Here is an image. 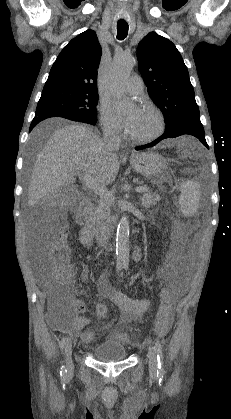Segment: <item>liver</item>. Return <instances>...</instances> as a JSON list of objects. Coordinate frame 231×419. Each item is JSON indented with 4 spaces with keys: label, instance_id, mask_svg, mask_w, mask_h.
<instances>
[{
    "label": "liver",
    "instance_id": "1",
    "mask_svg": "<svg viewBox=\"0 0 231 419\" xmlns=\"http://www.w3.org/2000/svg\"><path fill=\"white\" fill-rule=\"evenodd\" d=\"M116 151L90 128L66 125L48 139L35 162L28 189V205L57 195L75 182L78 172L90 174L100 185L111 184L119 171Z\"/></svg>",
    "mask_w": 231,
    "mask_h": 419
}]
</instances>
